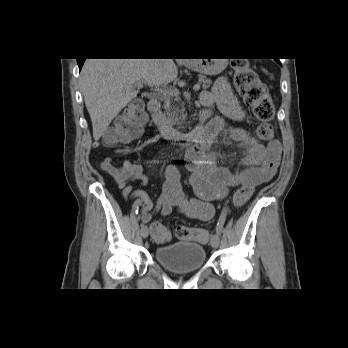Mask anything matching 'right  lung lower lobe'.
<instances>
[{"label":"right lung lower lobe","mask_w":348,"mask_h":348,"mask_svg":"<svg viewBox=\"0 0 348 348\" xmlns=\"http://www.w3.org/2000/svg\"><path fill=\"white\" fill-rule=\"evenodd\" d=\"M84 61H85V59H77V62H78V65H79V70H81Z\"/></svg>","instance_id":"obj_1"}]
</instances>
